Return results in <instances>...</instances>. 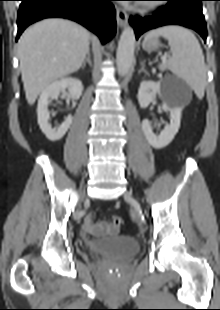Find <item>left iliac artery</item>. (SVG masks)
<instances>
[{
    "instance_id": "1",
    "label": "left iliac artery",
    "mask_w": 220,
    "mask_h": 310,
    "mask_svg": "<svg viewBox=\"0 0 220 310\" xmlns=\"http://www.w3.org/2000/svg\"><path fill=\"white\" fill-rule=\"evenodd\" d=\"M131 217H132L133 220L136 219V216H135V214L133 212H131Z\"/></svg>"
}]
</instances>
